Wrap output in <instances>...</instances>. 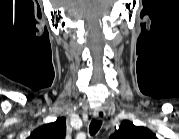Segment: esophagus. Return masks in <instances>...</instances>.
<instances>
[{
  "mask_svg": "<svg viewBox=\"0 0 179 139\" xmlns=\"http://www.w3.org/2000/svg\"><path fill=\"white\" fill-rule=\"evenodd\" d=\"M94 118L98 120H104L105 119V112L102 109H97L93 112Z\"/></svg>",
  "mask_w": 179,
  "mask_h": 139,
  "instance_id": "esophagus-1",
  "label": "esophagus"
}]
</instances>
